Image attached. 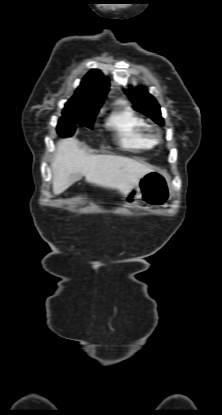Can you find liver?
Returning a JSON list of instances; mask_svg holds the SVG:
<instances>
[{
	"instance_id": "6515ba94",
	"label": "liver",
	"mask_w": 222,
	"mask_h": 415,
	"mask_svg": "<svg viewBox=\"0 0 222 415\" xmlns=\"http://www.w3.org/2000/svg\"><path fill=\"white\" fill-rule=\"evenodd\" d=\"M51 168L55 195L64 192L83 176L90 184L115 189L126 195L143 176L155 170L128 157L88 154L79 147L76 138L57 142Z\"/></svg>"
}]
</instances>
